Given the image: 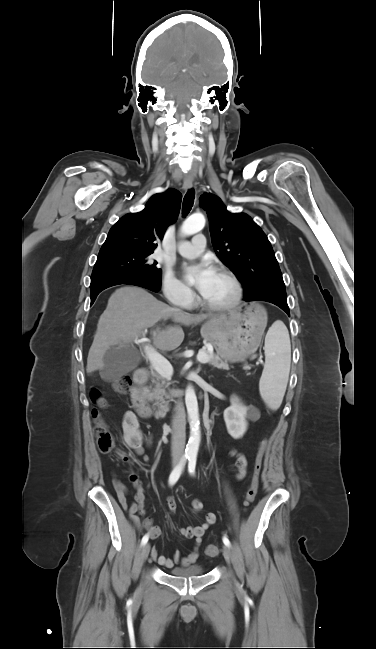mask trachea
<instances>
[{
	"instance_id": "obj_1",
	"label": "trachea",
	"mask_w": 376,
	"mask_h": 649,
	"mask_svg": "<svg viewBox=\"0 0 376 649\" xmlns=\"http://www.w3.org/2000/svg\"><path fill=\"white\" fill-rule=\"evenodd\" d=\"M194 199H195V191H194V189H190L185 194L184 199H183L182 213H183L184 216H186L190 212V210L192 209Z\"/></svg>"
}]
</instances>
